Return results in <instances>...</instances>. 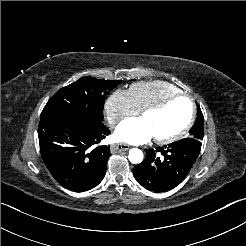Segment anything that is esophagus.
Wrapping results in <instances>:
<instances>
[{
	"label": "esophagus",
	"mask_w": 246,
	"mask_h": 246,
	"mask_svg": "<svg viewBox=\"0 0 246 246\" xmlns=\"http://www.w3.org/2000/svg\"><path fill=\"white\" fill-rule=\"evenodd\" d=\"M111 153H119L122 151H127L129 149V146L126 144H112L111 147Z\"/></svg>",
	"instance_id": "esophagus-1"
}]
</instances>
